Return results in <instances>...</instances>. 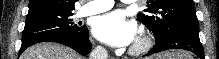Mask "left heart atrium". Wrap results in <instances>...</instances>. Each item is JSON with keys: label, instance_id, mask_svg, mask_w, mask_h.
Here are the masks:
<instances>
[{"label": "left heart atrium", "instance_id": "1", "mask_svg": "<svg viewBox=\"0 0 219 59\" xmlns=\"http://www.w3.org/2000/svg\"><path fill=\"white\" fill-rule=\"evenodd\" d=\"M93 35L100 41L111 46H125L136 37V26L127 21L119 11H113L94 19Z\"/></svg>", "mask_w": 219, "mask_h": 59}]
</instances>
